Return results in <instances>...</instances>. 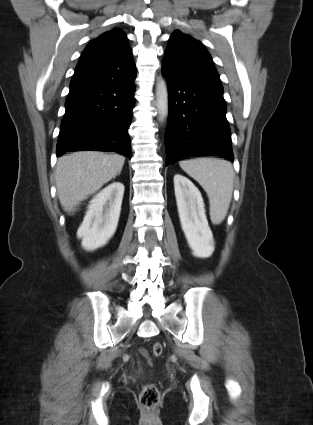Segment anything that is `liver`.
<instances>
[{
    "mask_svg": "<svg viewBox=\"0 0 313 425\" xmlns=\"http://www.w3.org/2000/svg\"><path fill=\"white\" fill-rule=\"evenodd\" d=\"M124 161L122 155L94 151L75 152L60 157L55 178L63 210L73 212L81 201L116 177Z\"/></svg>",
    "mask_w": 313,
    "mask_h": 425,
    "instance_id": "6515ba94",
    "label": "liver"
}]
</instances>
